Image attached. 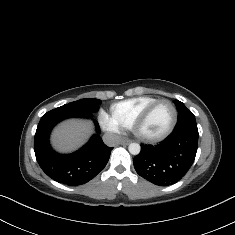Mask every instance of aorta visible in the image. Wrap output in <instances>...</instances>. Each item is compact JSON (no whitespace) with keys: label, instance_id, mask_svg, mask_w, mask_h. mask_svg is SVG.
Listing matches in <instances>:
<instances>
[{"label":"aorta","instance_id":"aorta-1","mask_svg":"<svg viewBox=\"0 0 235 235\" xmlns=\"http://www.w3.org/2000/svg\"><path fill=\"white\" fill-rule=\"evenodd\" d=\"M129 152L132 155H138L141 151V146L137 143H131L129 144Z\"/></svg>","mask_w":235,"mask_h":235}]
</instances>
